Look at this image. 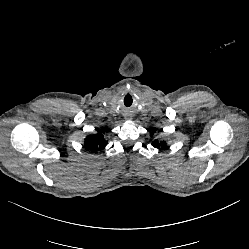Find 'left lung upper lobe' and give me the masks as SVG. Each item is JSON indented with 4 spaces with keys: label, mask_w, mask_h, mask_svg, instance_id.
Instances as JSON below:
<instances>
[{
    "label": "left lung upper lobe",
    "mask_w": 249,
    "mask_h": 249,
    "mask_svg": "<svg viewBox=\"0 0 249 249\" xmlns=\"http://www.w3.org/2000/svg\"><path fill=\"white\" fill-rule=\"evenodd\" d=\"M155 132H156V129H155V128L152 129L151 136H152ZM165 144H166V143H165L164 141L158 142L157 140H155V141L152 142V145H153L155 148H160V147L164 148V145H165Z\"/></svg>",
    "instance_id": "5c2ea615"
}]
</instances>
